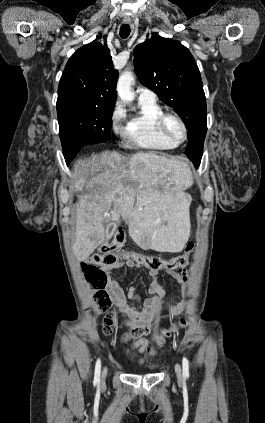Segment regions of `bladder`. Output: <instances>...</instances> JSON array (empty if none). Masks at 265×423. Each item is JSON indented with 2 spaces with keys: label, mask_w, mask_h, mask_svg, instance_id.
<instances>
[{
  "label": "bladder",
  "mask_w": 265,
  "mask_h": 423,
  "mask_svg": "<svg viewBox=\"0 0 265 423\" xmlns=\"http://www.w3.org/2000/svg\"><path fill=\"white\" fill-rule=\"evenodd\" d=\"M157 367L156 366H151V367H149V371H154L155 369H156Z\"/></svg>",
  "instance_id": "bladder-1"
}]
</instances>
